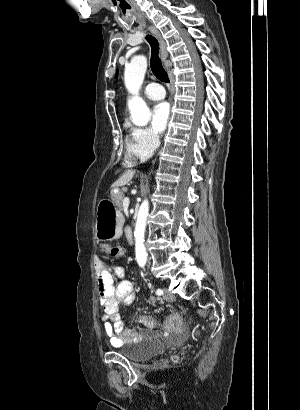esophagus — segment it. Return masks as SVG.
Instances as JSON below:
<instances>
[{
    "instance_id": "esophagus-1",
    "label": "esophagus",
    "mask_w": 300,
    "mask_h": 410,
    "mask_svg": "<svg viewBox=\"0 0 300 410\" xmlns=\"http://www.w3.org/2000/svg\"><path fill=\"white\" fill-rule=\"evenodd\" d=\"M147 28L152 33V35L157 39V41L159 43V46H160L161 59L165 62L168 58V51H167L166 43H165L161 33L154 26H148Z\"/></svg>"
}]
</instances>
